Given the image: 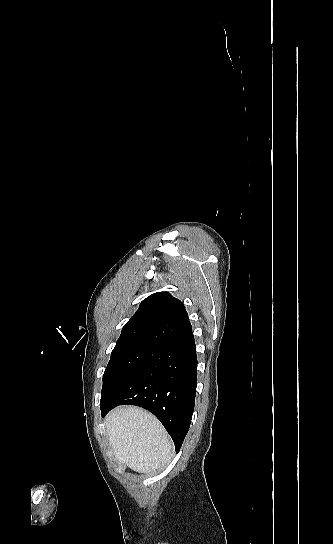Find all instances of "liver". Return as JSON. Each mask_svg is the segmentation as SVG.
I'll return each mask as SVG.
<instances>
[{
  "label": "liver",
  "instance_id": "6515ba94",
  "mask_svg": "<svg viewBox=\"0 0 333 544\" xmlns=\"http://www.w3.org/2000/svg\"><path fill=\"white\" fill-rule=\"evenodd\" d=\"M105 425L114 456L132 470L153 471L170 462L173 444L160 422L134 406L112 410Z\"/></svg>",
  "mask_w": 333,
  "mask_h": 544
}]
</instances>
